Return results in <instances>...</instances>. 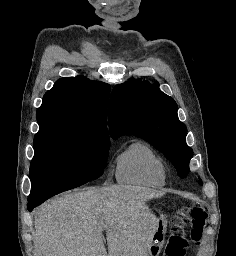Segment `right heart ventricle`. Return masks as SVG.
Masks as SVG:
<instances>
[{"label":"right heart ventricle","mask_w":236,"mask_h":256,"mask_svg":"<svg viewBox=\"0 0 236 256\" xmlns=\"http://www.w3.org/2000/svg\"><path fill=\"white\" fill-rule=\"evenodd\" d=\"M120 183L141 187H162L168 179L165 161L147 144L132 143L118 158Z\"/></svg>","instance_id":"right-heart-ventricle-1"}]
</instances>
